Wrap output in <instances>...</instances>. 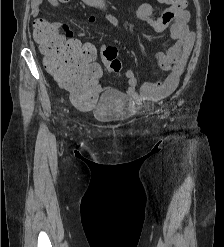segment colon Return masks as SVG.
Listing matches in <instances>:
<instances>
[{
  "instance_id": "obj_1",
  "label": "colon",
  "mask_w": 224,
  "mask_h": 247,
  "mask_svg": "<svg viewBox=\"0 0 224 247\" xmlns=\"http://www.w3.org/2000/svg\"><path fill=\"white\" fill-rule=\"evenodd\" d=\"M166 4L167 0H157ZM34 36L44 52L48 54L45 65L48 71L70 92L71 102L79 108L92 107L98 100V93L91 83L101 76V68L95 62L93 45L65 40L46 21L34 23ZM103 57L110 70L119 74L122 63L117 57V48L105 46Z\"/></svg>"
}]
</instances>
